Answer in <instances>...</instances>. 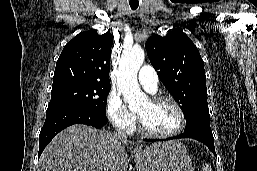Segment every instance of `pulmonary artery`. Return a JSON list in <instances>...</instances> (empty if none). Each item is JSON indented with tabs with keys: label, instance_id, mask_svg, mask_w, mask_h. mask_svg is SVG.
Wrapping results in <instances>:
<instances>
[{
	"label": "pulmonary artery",
	"instance_id": "pulmonary-artery-1",
	"mask_svg": "<svg viewBox=\"0 0 257 171\" xmlns=\"http://www.w3.org/2000/svg\"><path fill=\"white\" fill-rule=\"evenodd\" d=\"M138 81L147 91L154 93L158 87L156 70L148 65L143 66L138 73Z\"/></svg>",
	"mask_w": 257,
	"mask_h": 171
}]
</instances>
